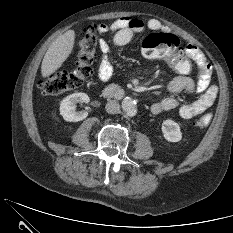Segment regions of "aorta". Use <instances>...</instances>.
Here are the masks:
<instances>
[{
    "label": "aorta",
    "mask_w": 233,
    "mask_h": 233,
    "mask_svg": "<svg viewBox=\"0 0 233 233\" xmlns=\"http://www.w3.org/2000/svg\"><path fill=\"white\" fill-rule=\"evenodd\" d=\"M121 107L127 116L133 117L137 113V103L131 97H125L122 100Z\"/></svg>",
    "instance_id": "aorta-1"
}]
</instances>
